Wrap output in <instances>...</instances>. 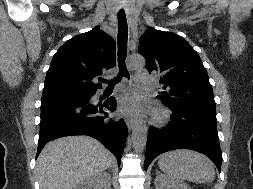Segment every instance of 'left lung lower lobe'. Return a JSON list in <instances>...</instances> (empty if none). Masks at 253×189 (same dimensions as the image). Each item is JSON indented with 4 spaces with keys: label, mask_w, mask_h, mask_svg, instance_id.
Returning a JSON list of instances; mask_svg holds the SVG:
<instances>
[{
    "label": "left lung lower lobe",
    "mask_w": 253,
    "mask_h": 189,
    "mask_svg": "<svg viewBox=\"0 0 253 189\" xmlns=\"http://www.w3.org/2000/svg\"><path fill=\"white\" fill-rule=\"evenodd\" d=\"M171 122L165 128H149L144 168L159 154L173 149H192L208 156L221 172L222 153L216 114L186 107H169Z\"/></svg>",
    "instance_id": "left-lung-lower-lobe-1"
}]
</instances>
